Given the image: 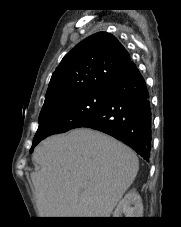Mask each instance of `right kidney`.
<instances>
[{"label":"right kidney","instance_id":"1","mask_svg":"<svg viewBox=\"0 0 181 227\" xmlns=\"http://www.w3.org/2000/svg\"><path fill=\"white\" fill-rule=\"evenodd\" d=\"M113 217H142L143 204L141 196L135 189L130 190L117 205Z\"/></svg>","mask_w":181,"mask_h":227}]
</instances>
